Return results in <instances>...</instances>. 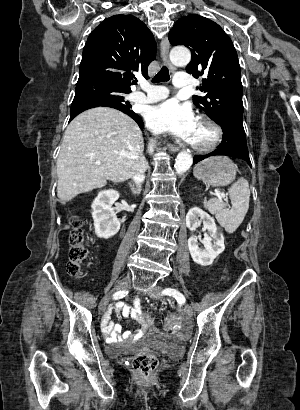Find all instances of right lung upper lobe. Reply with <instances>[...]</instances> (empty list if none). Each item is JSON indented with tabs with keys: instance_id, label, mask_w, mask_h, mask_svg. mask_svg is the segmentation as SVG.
<instances>
[{
	"instance_id": "obj_1",
	"label": "right lung upper lobe",
	"mask_w": 300,
	"mask_h": 410,
	"mask_svg": "<svg viewBox=\"0 0 300 410\" xmlns=\"http://www.w3.org/2000/svg\"><path fill=\"white\" fill-rule=\"evenodd\" d=\"M155 58L156 42L147 26L136 17L114 15L89 35L78 82H97L130 92L132 72L147 77Z\"/></svg>"
}]
</instances>
